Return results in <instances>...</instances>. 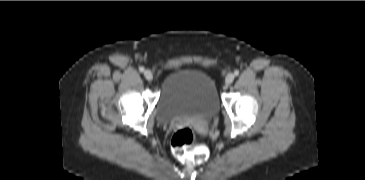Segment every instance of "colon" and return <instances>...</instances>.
Here are the masks:
<instances>
[{
	"mask_svg": "<svg viewBox=\"0 0 365 180\" xmlns=\"http://www.w3.org/2000/svg\"><path fill=\"white\" fill-rule=\"evenodd\" d=\"M195 133L189 127L177 130L171 140V147L176 157L184 164L196 165L203 163L209 156L205 146L195 145Z\"/></svg>",
	"mask_w": 365,
	"mask_h": 180,
	"instance_id": "1",
	"label": "colon"
}]
</instances>
